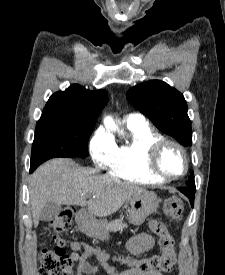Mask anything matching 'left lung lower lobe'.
<instances>
[{"label":"left lung lower lobe","instance_id":"1","mask_svg":"<svg viewBox=\"0 0 225 275\" xmlns=\"http://www.w3.org/2000/svg\"><path fill=\"white\" fill-rule=\"evenodd\" d=\"M179 190L189 198L191 206L193 207L194 193L196 191L195 187H183V188H179Z\"/></svg>","mask_w":225,"mask_h":275}]
</instances>
